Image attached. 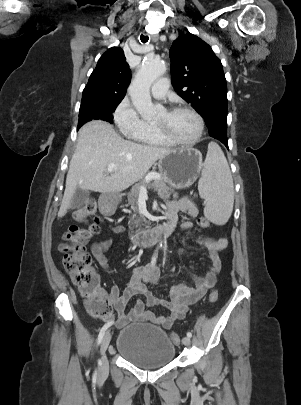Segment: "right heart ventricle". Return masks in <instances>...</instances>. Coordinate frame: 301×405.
I'll list each match as a JSON object with an SVG mask.
<instances>
[{
    "label": "right heart ventricle",
    "instance_id": "e07e8e85",
    "mask_svg": "<svg viewBox=\"0 0 301 405\" xmlns=\"http://www.w3.org/2000/svg\"><path fill=\"white\" fill-rule=\"evenodd\" d=\"M131 137L142 144L153 146H168L169 142L164 140L155 130L153 124L144 122V125Z\"/></svg>",
    "mask_w": 301,
    "mask_h": 405
}]
</instances>
